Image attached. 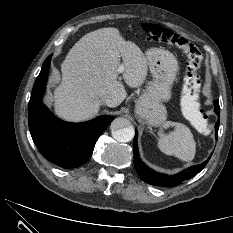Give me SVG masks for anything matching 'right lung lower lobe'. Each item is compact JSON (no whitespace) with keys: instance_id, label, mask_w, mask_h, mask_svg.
Masks as SVG:
<instances>
[{"instance_id":"obj_1","label":"right lung lower lobe","mask_w":233,"mask_h":233,"mask_svg":"<svg viewBox=\"0 0 233 233\" xmlns=\"http://www.w3.org/2000/svg\"><path fill=\"white\" fill-rule=\"evenodd\" d=\"M51 55L45 60L34 84L28 106V122L32 139L41 154L63 168H76L92 155L103 131L112 122L111 116H100L85 123H67L56 118L42 104Z\"/></svg>"}]
</instances>
